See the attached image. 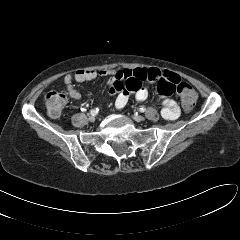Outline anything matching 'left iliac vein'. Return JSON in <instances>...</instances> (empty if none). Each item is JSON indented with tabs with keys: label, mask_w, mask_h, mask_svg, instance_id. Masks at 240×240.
Segmentation results:
<instances>
[{
	"label": "left iliac vein",
	"mask_w": 240,
	"mask_h": 240,
	"mask_svg": "<svg viewBox=\"0 0 240 240\" xmlns=\"http://www.w3.org/2000/svg\"><path fill=\"white\" fill-rule=\"evenodd\" d=\"M133 119H134L135 121H137V122H141V121H144V120H145V118H144L143 116H141V115H134V116H133Z\"/></svg>",
	"instance_id": "4c4485c4"
}]
</instances>
